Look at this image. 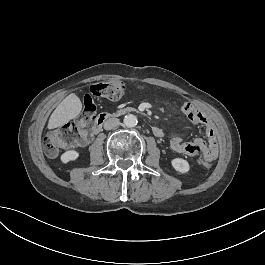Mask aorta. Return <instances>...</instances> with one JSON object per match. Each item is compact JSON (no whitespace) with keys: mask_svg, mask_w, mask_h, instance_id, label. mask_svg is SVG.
<instances>
[{"mask_svg":"<svg viewBox=\"0 0 265 265\" xmlns=\"http://www.w3.org/2000/svg\"><path fill=\"white\" fill-rule=\"evenodd\" d=\"M138 119L135 115L129 114L124 117V124L126 127L133 128L137 125Z\"/></svg>","mask_w":265,"mask_h":265,"instance_id":"1","label":"aorta"}]
</instances>
